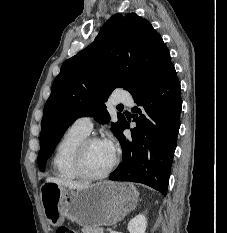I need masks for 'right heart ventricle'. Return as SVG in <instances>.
<instances>
[{
	"label": "right heart ventricle",
	"mask_w": 227,
	"mask_h": 233,
	"mask_svg": "<svg viewBox=\"0 0 227 233\" xmlns=\"http://www.w3.org/2000/svg\"><path fill=\"white\" fill-rule=\"evenodd\" d=\"M87 135L88 134L70 127L58 142L53 155L52 165L55 174L59 178L64 180L80 178L74 170L73 157L77 146Z\"/></svg>",
	"instance_id": "e07e8e85"
}]
</instances>
